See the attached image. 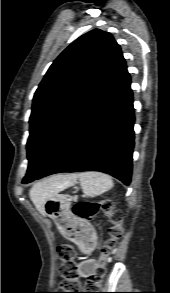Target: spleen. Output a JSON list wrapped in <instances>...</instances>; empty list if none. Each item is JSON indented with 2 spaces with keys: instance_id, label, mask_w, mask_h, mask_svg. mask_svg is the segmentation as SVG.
Wrapping results in <instances>:
<instances>
[{
  "instance_id": "3e777b00",
  "label": "spleen",
  "mask_w": 170,
  "mask_h": 293,
  "mask_svg": "<svg viewBox=\"0 0 170 293\" xmlns=\"http://www.w3.org/2000/svg\"><path fill=\"white\" fill-rule=\"evenodd\" d=\"M78 178L83 192L90 197L101 195L113 187L111 177L101 172H82Z\"/></svg>"
}]
</instances>
